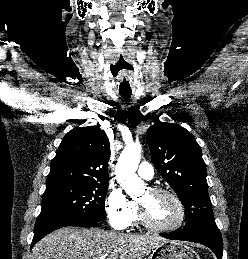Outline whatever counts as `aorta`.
I'll use <instances>...</instances> for the list:
<instances>
[{
    "label": "aorta",
    "instance_id": "1",
    "mask_svg": "<svg viewBox=\"0 0 248 259\" xmlns=\"http://www.w3.org/2000/svg\"><path fill=\"white\" fill-rule=\"evenodd\" d=\"M141 158V145L133 143L122 151L116 165V179L125 192L134 197L143 188V181L136 175V170Z\"/></svg>",
    "mask_w": 248,
    "mask_h": 259
}]
</instances>
